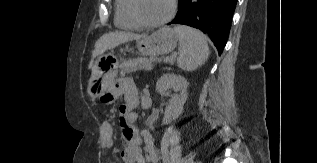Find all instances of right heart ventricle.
<instances>
[{
	"label": "right heart ventricle",
	"mask_w": 317,
	"mask_h": 163,
	"mask_svg": "<svg viewBox=\"0 0 317 163\" xmlns=\"http://www.w3.org/2000/svg\"><path fill=\"white\" fill-rule=\"evenodd\" d=\"M115 24L124 30H135L141 27L130 14L129 0L115 1Z\"/></svg>",
	"instance_id": "e07e8e85"
}]
</instances>
